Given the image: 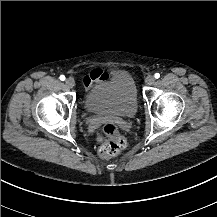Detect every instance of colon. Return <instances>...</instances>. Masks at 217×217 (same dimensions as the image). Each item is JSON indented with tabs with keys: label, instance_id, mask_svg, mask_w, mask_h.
<instances>
[{
	"label": "colon",
	"instance_id": "colon-1",
	"mask_svg": "<svg viewBox=\"0 0 217 217\" xmlns=\"http://www.w3.org/2000/svg\"><path fill=\"white\" fill-rule=\"evenodd\" d=\"M103 131L109 138V142L101 149L102 156L117 154L124 147V139L118 134V126L114 122L104 125Z\"/></svg>",
	"mask_w": 217,
	"mask_h": 217
}]
</instances>
